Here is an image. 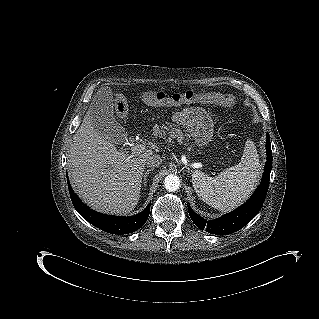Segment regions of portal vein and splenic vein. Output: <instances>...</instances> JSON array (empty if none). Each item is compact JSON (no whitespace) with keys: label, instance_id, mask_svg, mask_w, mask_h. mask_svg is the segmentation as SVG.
Returning <instances> with one entry per match:
<instances>
[{"label":"portal vein and splenic vein","instance_id":"obj_1","mask_svg":"<svg viewBox=\"0 0 319 319\" xmlns=\"http://www.w3.org/2000/svg\"><path fill=\"white\" fill-rule=\"evenodd\" d=\"M131 150L132 152L135 153H139V152H143L145 150V145L143 144H131Z\"/></svg>","mask_w":319,"mask_h":319}]
</instances>
